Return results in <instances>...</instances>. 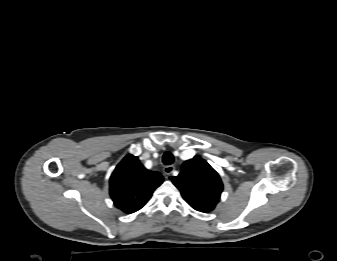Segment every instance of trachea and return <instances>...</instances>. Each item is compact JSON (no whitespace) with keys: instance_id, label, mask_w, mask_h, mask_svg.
<instances>
[{"instance_id":"1","label":"trachea","mask_w":337,"mask_h":261,"mask_svg":"<svg viewBox=\"0 0 337 261\" xmlns=\"http://www.w3.org/2000/svg\"><path fill=\"white\" fill-rule=\"evenodd\" d=\"M162 161L165 165H170L174 162V156L170 152H166L163 155Z\"/></svg>"}]
</instances>
